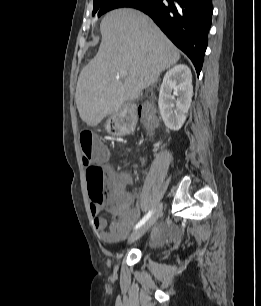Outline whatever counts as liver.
<instances>
[{"instance_id": "6515ba94", "label": "liver", "mask_w": 261, "mask_h": 306, "mask_svg": "<svg viewBox=\"0 0 261 306\" xmlns=\"http://www.w3.org/2000/svg\"><path fill=\"white\" fill-rule=\"evenodd\" d=\"M100 31L98 53L82 69L75 94L79 115L90 126L117 113L124 102L137 99L180 59L175 45L138 10L110 11ZM121 72L126 76L117 79Z\"/></svg>"}]
</instances>
